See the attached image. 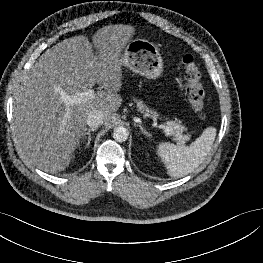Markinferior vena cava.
<instances>
[{
  "instance_id": "inferior-vena-cava-1",
  "label": "inferior vena cava",
  "mask_w": 263,
  "mask_h": 263,
  "mask_svg": "<svg viewBox=\"0 0 263 263\" xmlns=\"http://www.w3.org/2000/svg\"><path fill=\"white\" fill-rule=\"evenodd\" d=\"M104 122V115L100 111H91L87 115L86 123L91 128H98Z\"/></svg>"
}]
</instances>
